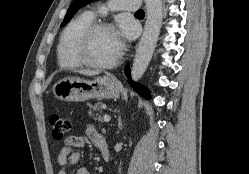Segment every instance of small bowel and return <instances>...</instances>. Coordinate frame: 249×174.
Listing matches in <instances>:
<instances>
[{
  "label": "small bowel",
  "instance_id": "small-bowel-1",
  "mask_svg": "<svg viewBox=\"0 0 249 174\" xmlns=\"http://www.w3.org/2000/svg\"><path fill=\"white\" fill-rule=\"evenodd\" d=\"M87 139H90L93 142L100 153V145H107L105 138L98 131V129L92 124H87L85 127V135L69 136L64 141L63 147L58 154V163L61 167L59 174H68L69 168L76 165L80 161V153L74 149L83 147ZM75 174H90V172L85 167H78L75 170Z\"/></svg>",
  "mask_w": 249,
  "mask_h": 174
}]
</instances>
